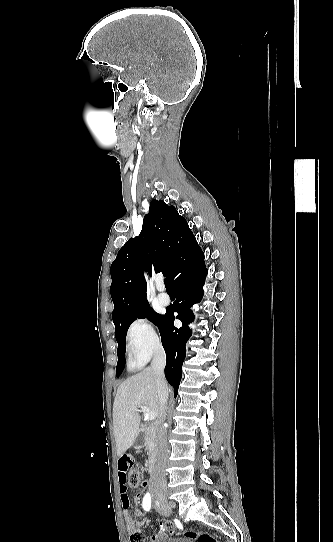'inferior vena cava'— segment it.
Instances as JSON below:
<instances>
[{"instance_id": "1", "label": "inferior vena cava", "mask_w": 333, "mask_h": 542, "mask_svg": "<svg viewBox=\"0 0 333 542\" xmlns=\"http://www.w3.org/2000/svg\"><path fill=\"white\" fill-rule=\"evenodd\" d=\"M166 366V356L164 350H156L154 358L151 362V368L155 372V382L158 394V406L160 410V418L157 422V440L158 452L154 468L150 470V490H158V488H166V464L168 460V446L166 440V428L163 426L166 418V404L168 400V386L164 376V368Z\"/></svg>"}]
</instances>
